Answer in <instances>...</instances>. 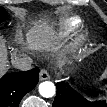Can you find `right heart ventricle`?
<instances>
[{"mask_svg": "<svg viewBox=\"0 0 107 107\" xmlns=\"http://www.w3.org/2000/svg\"><path fill=\"white\" fill-rule=\"evenodd\" d=\"M79 20H69L63 25V28L60 32H52V31H41L37 34L34 45L37 48H47L53 46L58 39L68 33L69 31L73 30L75 27L78 26Z\"/></svg>", "mask_w": 107, "mask_h": 107, "instance_id": "right-heart-ventricle-1", "label": "right heart ventricle"}]
</instances>
